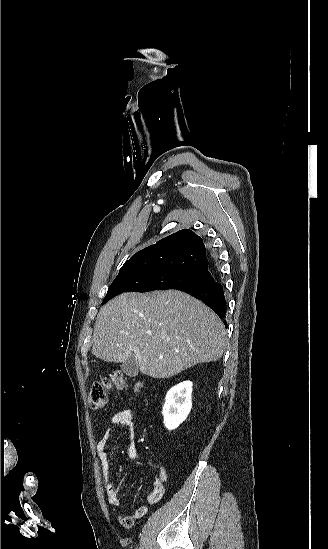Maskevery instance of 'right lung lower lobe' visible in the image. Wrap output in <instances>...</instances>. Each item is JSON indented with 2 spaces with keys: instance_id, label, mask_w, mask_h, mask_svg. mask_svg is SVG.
<instances>
[{
  "instance_id": "1",
  "label": "right lung lower lobe",
  "mask_w": 328,
  "mask_h": 549,
  "mask_svg": "<svg viewBox=\"0 0 328 549\" xmlns=\"http://www.w3.org/2000/svg\"><path fill=\"white\" fill-rule=\"evenodd\" d=\"M183 291L202 300L210 307L221 319L226 318L227 305L224 295V290L219 282L211 279L205 284L198 285L192 288H186ZM226 324V322L224 321ZM227 328V325H226Z\"/></svg>"
}]
</instances>
